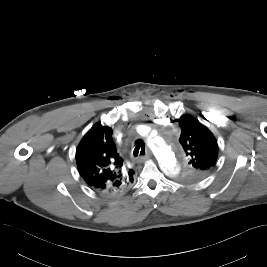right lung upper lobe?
<instances>
[{
	"label": "right lung upper lobe",
	"instance_id": "obj_1",
	"mask_svg": "<svg viewBox=\"0 0 267 267\" xmlns=\"http://www.w3.org/2000/svg\"><path fill=\"white\" fill-rule=\"evenodd\" d=\"M76 162L84 181L97 192L121 194L134 182V171L117 153L111 128L101 123H96L82 138Z\"/></svg>",
	"mask_w": 267,
	"mask_h": 267
}]
</instances>
